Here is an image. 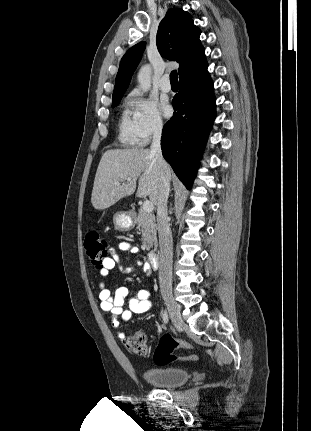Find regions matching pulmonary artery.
Listing matches in <instances>:
<instances>
[{
    "label": "pulmonary artery",
    "mask_w": 311,
    "mask_h": 431,
    "mask_svg": "<svg viewBox=\"0 0 311 431\" xmlns=\"http://www.w3.org/2000/svg\"><path fill=\"white\" fill-rule=\"evenodd\" d=\"M159 85L160 89L165 93H169L172 90V85L167 74L161 78Z\"/></svg>",
    "instance_id": "obj_1"
}]
</instances>
